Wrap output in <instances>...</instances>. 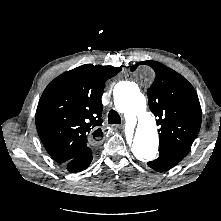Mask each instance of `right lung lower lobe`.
I'll return each mask as SVG.
<instances>
[{"label":"right lung lower lobe","mask_w":221,"mask_h":221,"mask_svg":"<svg viewBox=\"0 0 221 221\" xmlns=\"http://www.w3.org/2000/svg\"><path fill=\"white\" fill-rule=\"evenodd\" d=\"M92 161V151L88 147L80 154H78L75 158L71 159L65 165L70 172H80L86 169Z\"/></svg>","instance_id":"right-lung-lower-lobe-1"}]
</instances>
